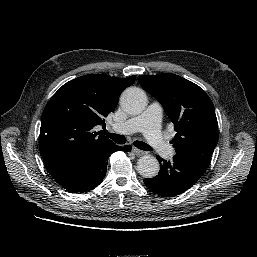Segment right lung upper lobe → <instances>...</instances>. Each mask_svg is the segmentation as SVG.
Segmentation results:
<instances>
[{"instance_id":"right-lung-upper-lobe-1","label":"right lung upper lobe","mask_w":257,"mask_h":257,"mask_svg":"<svg viewBox=\"0 0 257 257\" xmlns=\"http://www.w3.org/2000/svg\"><path fill=\"white\" fill-rule=\"evenodd\" d=\"M105 74L78 77L64 84L47 103L42 117L39 148L50 175L114 143L94 131L105 125L114 112L122 91L134 83Z\"/></svg>"}]
</instances>
